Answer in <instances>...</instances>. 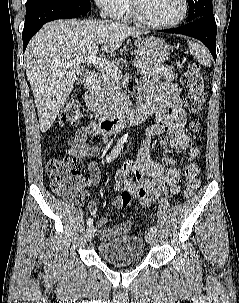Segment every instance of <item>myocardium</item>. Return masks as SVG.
<instances>
[{
	"label": "myocardium",
	"instance_id": "obj_1",
	"mask_svg": "<svg viewBox=\"0 0 239 303\" xmlns=\"http://www.w3.org/2000/svg\"><path fill=\"white\" fill-rule=\"evenodd\" d=\"M181 1L183 5L181 14L176 19L165 23H156L148 20L141 12L137 0H130V3H131V11L133 16L142 25L153 29H169L180 24L188 15L189 1L188 0H181Z\"/></svg>",
	"mask_w": 239,
	"mask_h": 303
}]
</instances>
